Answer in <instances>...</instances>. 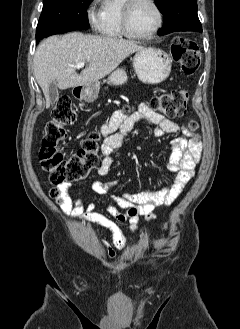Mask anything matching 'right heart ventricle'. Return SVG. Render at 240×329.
Masks as SVG:
<instances>
[{"mask_svg":"<svg viewBox=\"0 0 240 329\" xmlns=\"http://www.w3.org/2000/svg\"><path fill=\"white\" fill-rule=\"evenodd\" d=\"M124 3L125 0H102L96 27L103 37L110 39L127 37L123 33L121 26Z\"/></svg>","mask_w":240,"mask_h":329,"instance_id":"e07e8e85","label":"right heart ventricle"}]
</instances>
